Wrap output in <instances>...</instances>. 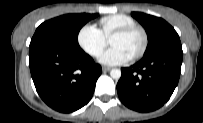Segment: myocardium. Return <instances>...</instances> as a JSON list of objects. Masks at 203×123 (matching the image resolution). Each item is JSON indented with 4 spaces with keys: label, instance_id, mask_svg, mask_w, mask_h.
<instances>
[{
    "label": "myocardium",
    "instance_id": "f54148a6",
    "mask_svg": "<svg viewBox=\"0 0 203 123\" xmlns=\"http://www.w3.org/2000/svg\"><path fill=\"white\" fill-rule=\"evenodd\" d=\"M134 31H139L142 35V38H143V43H142V46L141 48L139 49V51L137 53H135L131 59H138L140 57H142L147 48H148V43H149V38H148V34L146 32V30L139 26V25H132V26H127V27H124V28H120L118 30H116L111 36H110V40L115 37V36H124V35H128Z\"/></svg>",
    "mask_w": 203,
    "mask_h": 123
}]
</instances>
